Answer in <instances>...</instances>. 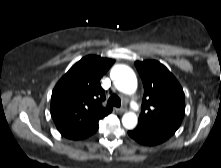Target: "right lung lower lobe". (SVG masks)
Wrapping results in <instances>:
<instances>
[{
	"instance_id": "obj_1",
	"label": "right lung lower lobe",
	"mask_w": 221,
	"mask_h": 168,
	"mask_svg": "<svg viewBox=\"0 0 221 168\" xmlns=\"http://www.w3.org/2000/svg\"><path fill=\"white\" fill-rule=\"evenodd\" d=\"M97 130V129H96ZM96 130H93L89 133H86V134H83V135H80V136H74V137H67L69 139H72V140H79V139H84L92 134H94L96 132Z\"/></svg>"
}]
</instances>
